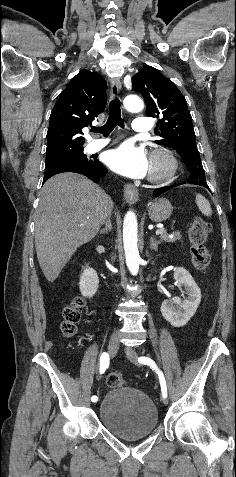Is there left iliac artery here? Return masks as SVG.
Here are the masks:
<instances>
[{
    "mask_svg": "<svg viewBox=\"0 0 236 477\" xmlns=\"http://www.w3.org/2000/svg\"><path fill=\"white\" fill-rule=\"evenodd\" d=\"M138 362L141 363V364H144V365H148V366H150V368H152L153 370L156 371V373L158 374V377H159L162 395H163V397H167V386H166L165 377H164L162 371H160L158 369L156 363L151 358L145 357V356L139 357Z\"/></svg>",
    "mask_w": 236,
    "mask_h": 477,
    "instance_id": "1",
    "label": "left iliac artery"
}]
</instances>
